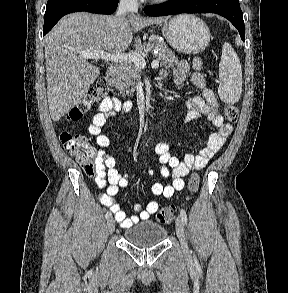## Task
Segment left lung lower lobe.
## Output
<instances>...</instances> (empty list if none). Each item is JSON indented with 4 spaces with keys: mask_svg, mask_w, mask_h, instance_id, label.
<instances>
[{
    "mask_svg": "<svg viewBox=\"0 0 288 293\" xmlns=\"http://www.w3.org/2000/svg\"><path fill=\"white\" fill-rule=\"evenodd\" d=\"M149 16H164L180 13H215L227 18L245 41L243 14L238 0H169L144 8Z\"/></svg>",
    "mask_w": 288,
    "mask_h": 293,
    "instance_id": "obj_1",
    "label": "left lung lower lobe"
}]
</instances>
